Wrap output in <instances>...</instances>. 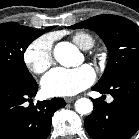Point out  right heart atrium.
<instances>
[{"label": "right heart atrium", "mask_w": 139, "mask_h": 139, "mask_svg": "<svg viewBox=\"0 0 139 139\" xmlns=\"http://www.w3.org/2000/svg\"><path fill=\"white\" fill-rule=\"evenodd\" d=\"M26 67L35 74L44 73L53 64V41L44 35L33 40L23 53Z\"/></svg>", "instance_id": "1"}]
</instances>
